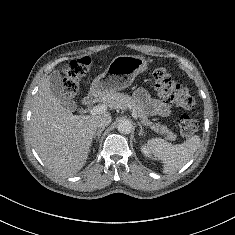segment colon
I'll list each match as a JSON object with an SVG mask.
<instances>
[{
    "label": "colon",
    "mask_w": 235,
    "mask_h": 235,
    "mask_svg": "<svg viewBox=\"0 0 235 235\" xmlns=\"http://www.w3.org/2000/svg\"><path fill=\"white\" fill-rule=\"evenodd\" d=\"M91 67V60L88 57L71 60L62 75V93L66 100L72 99L80 89V80ZM153 82L158 94L169 104L183 109H192L195 100L188 89L172 79L164 68H157L153 71ZM180 132L183 136L189 137L199 129L197 119L188 115L180 116L178 120Z\"/></svg>",
    "instance_id": "colon-1"
}]
</instances>
